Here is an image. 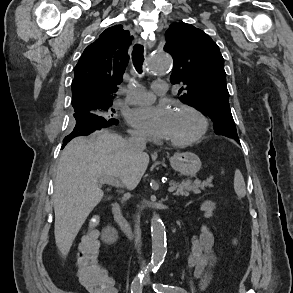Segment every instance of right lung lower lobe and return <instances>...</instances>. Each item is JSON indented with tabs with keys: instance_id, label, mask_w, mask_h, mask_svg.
<instances>
[{
	"instance_id": "98d812e1",
	"label": "right lung lower lobe",
	"mask_w": 293,
	"mask_h": 293,
	"mask_svg": "<svg viewBox=\"0 0 293 293\" xmlns=\"http://www.w3.org/2000/svg\"><path fill=\"white\" fill-rule=\"evenodd\" d=\"M73 131L64 138L62 148L74 137L80 135H87L97 129L106 128L112 125H117L118 121L115 119H107L97 114L88 112L74 113Z\"/></svg>"
}]
</instances>
